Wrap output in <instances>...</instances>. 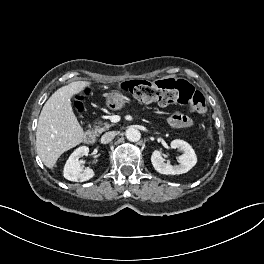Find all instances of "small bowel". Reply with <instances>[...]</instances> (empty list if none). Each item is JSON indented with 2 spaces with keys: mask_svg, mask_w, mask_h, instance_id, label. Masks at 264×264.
Wrapping results in <instances>:
<instances>
[{
  "mask_svg": "<svg viewBox=\"0 0 264 264\" xmlns=\"http://www.w3.org/2000/svg\"><path fill=\"white\" fill-rule=\"evenodd\" d=\"M168 122L174 128H188L193 124L190 118L180 113L170 116Z\"/></svg>",
  "mask_w": 264,
  "mask_h": 264,
  "instance_id": "obj_1",
  "label": "small bowel"
}]
</instances>
